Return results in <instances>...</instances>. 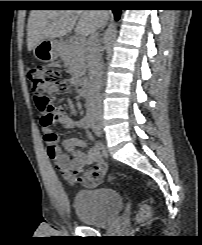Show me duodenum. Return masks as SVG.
Wrapping results in <instances>:
<instances>
[{"mask_svg": "<svg viewBox=\"0 0 202 245\" xmlns=\"http://www.w3.org/2000/svg\"><path fill=\"white\" fill-rule=\"evenodd\" d=\"M76 88L79 95L83 98L88 96V81L86 78H80L76 81Z\"/></svg>", "mask_w": 202, "mask_h": 245, "instance_id": "410a0bca", "label": "duodenum"}]
</instances>
